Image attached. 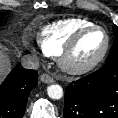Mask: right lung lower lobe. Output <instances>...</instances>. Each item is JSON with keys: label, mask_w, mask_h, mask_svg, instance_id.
I'll use <instances>...</instances> for the list:
<instances>
[{"label": "right lung lower lobe", "mask_w": 118, "mask_h": 118, "mask_svg": "<svg viewBox=\"0 0 118 118\" xmlns=\"http://www.w3.org/2000/svg\"><path fill=\"white\" fill-rule=\"evenodd\" d=\"M38 83V72L16 69L0 86V118H22L30 91Z\"/></svg>", "instance_id": "98d812e1"}]
</instances>
